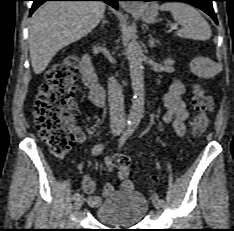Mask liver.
I'll use <instances>...</instances> for the list:
<instances>
[{"mask_svg": "<svg viewBox=\"0 0 234 231\" xmlns=\"http://www.w3.org/2000/svg\"><path fill=\"white\" fill-rule=\"evenodd\" d=\"M101 1H52L30 19L29 51L35 74H41L64 47L90 33L103 19Z\"/></svg>", "mask_w": 234, "mask_h": 231, "instance_id": "liver-1", "label": "liver"}]
</instances>
